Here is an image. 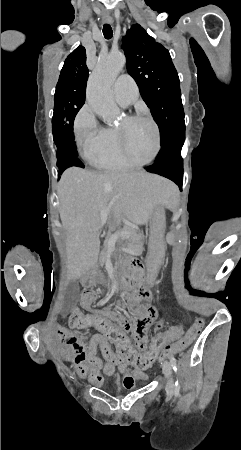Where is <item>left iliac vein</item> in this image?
I'll use <instances>...</instances> for the list:
<instances>
[{"instance_id":"1","label":"left iliac vein","mask_w":241,"mask_h":450,"mask_svg":"<svg viewBox=\"0 0 241 450\" xmlns=\"http://www.w3.org/2000/svg\"><path fill=\"white\" fill-rule=\"evenodd\" d=\"M163 373L166 377V392L169 396H172L175 391L173 379L171 378V366L169 362L163 364Z\"/></svg>"}]
</instances>
